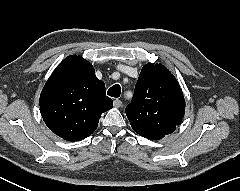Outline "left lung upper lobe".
Returning a JSON list of instances; mask_svg holds the SVG:
<instances>
[{
    "label": "left lung upper lobe",
    "mask_w": 240,
    "mask_h": 191,
    "mask_svg": "<svg viewBox=\"0 0 240 191\" xmlns=\"http://www.w3.org/2000/svg\"><path fill=\"white\" fill-rule=\"evenodd\" d=\"M125 112L133 130L147 139L158 140L172 133L185 112V100L176 78L162 64L147 63Z\"/></svg>",
    "instance_id": "1"
}]
</instances>
